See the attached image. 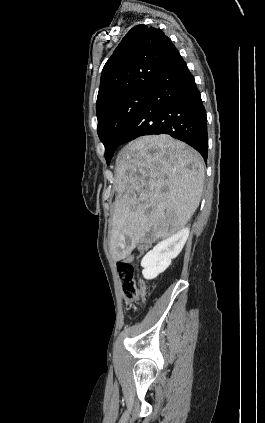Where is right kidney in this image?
Segmentation results:
<instances>
[{
    "label": "right kidney",
    "mask_w": 265,
    "mask_h": 423,
    "mask_svg": "<svg viewBox=\"0 0 265 423\" xmlns=\"http://www.w3.org/2000/svg\"><path fill=\"white\" fill-rule=\"evenodd\" d=\"M189 236V229L183 228L176 234L158 243L142 259L143 277L147 280L155 279L163 273L183 249Z\"/></svg>",
    "instance_id": "1"
}]
</instances>
